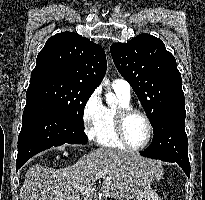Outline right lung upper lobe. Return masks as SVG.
I'll use <instances>...</instances> for the list:
<instances>
[{
    "mask_svg": "<svg viewBox=\"0 0 205 200\" xmlns=\"http://www.w3.org/2000/svg\"><path fill=\"white\" fill-rule=\"evenodd\" d=\"M107 68L103 48L89 39L62 32L50 37L39 52L31 79L54 76L95 90Z\"/></svg>",
    "mask_w": 205,
    "mask_h": 200,
    "instance_id": "cb5924a9",
    "label": "right lung upper lobe"
}]
</instances>
